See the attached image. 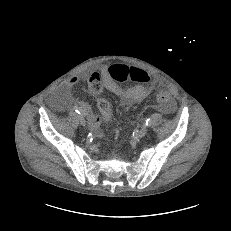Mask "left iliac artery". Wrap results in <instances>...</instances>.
<instances>
[{
	"mask_svg": "<svg viewBox=\"0 0 231 231\" xmlns=\"http://www.w3.org/2000/svg\"><path fill=\"white\" fill-rule=\"evenodd\" d=\"M145 125H146V126H150V125H151V120H150V118H148V119L146 120Z\"/></svg>",
	"mask_w": 231,
	"mask_h": 231,
	"instance_id": "obj_1",
	"label": "left iliac artery"
}]
</instances>
